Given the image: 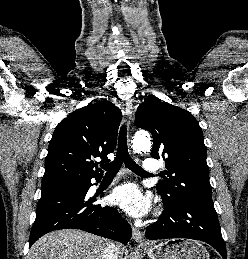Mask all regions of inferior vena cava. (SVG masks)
<instances>
[{
  "instance_id": "1",
  "label": "inferior vena cava",
  "mask_w": 248,
  "mask_h": 259,
  "mask_svg": "<svg viewBox=\"0 0 248 259\" xmlns=\"http://www.w3.org/2000/svg\"><path fill=\"white\" fill-rule=\"evenodd\" d=\"M102 259H118V250L114 243H107L102 254Z\"/></svg>"
}]
</instances>
